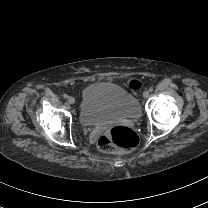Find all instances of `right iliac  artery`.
Listing matches in <instances>:
<instances>
[{
	"label": "right iliac artery",
	"instance_id": "obj_1",
	"mask_svg": "<svg viewBox=\"0 0 208 208\" xmlns=\"http://www.w3.org/2000/svg\"><path fill=\"white\" fill-rule=\"evenodd\" d=\"M63 97H64L65 99H68V98H69V96H68L67 94H64Z\"/></svg>",
	"mask_w": 208,
	"mask_h": 208
}]
</instances>
